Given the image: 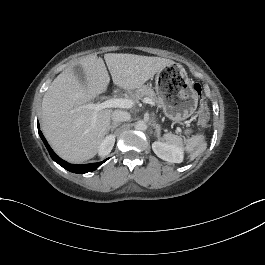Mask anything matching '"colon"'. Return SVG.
Here are the masks:
<instances>
[{"instance_id":"1","label":"colon","mask_w":265,"mask_h":265,"mask_svg":"<svg viewBox=\"0 0 265 265\" xmlns=\"http://www.w3.org/2000/svg\"><path fill=\"white\" fill-rule=\"evenodd\" d=\"M194 89L199 97V108L197 111V119L198 124L202 129H206L208 127V109L206 102L204 100L201 86L198 84H195Z\"/></svg>"}]
</instances>
